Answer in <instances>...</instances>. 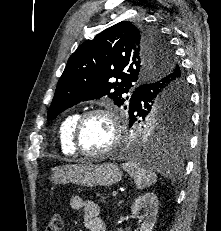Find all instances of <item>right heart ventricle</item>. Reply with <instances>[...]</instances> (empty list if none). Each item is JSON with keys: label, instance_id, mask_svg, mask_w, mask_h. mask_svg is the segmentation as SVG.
I'll list each match as a JSON object with an SVG mask.
<instances>
[{"label": "right heart ventricle", "instance_id": "e07e8e85", "mask_svg": "<svg viewBox=\"0 0 221 231\" xmlns=\"http://www.w3.org/2000/svg\"><path fill=\"white\" fill-rule=\"evenodd\" d=\"M78 117V113H71L62 120L59 126L58 134L60 147L62 152L67 155L75 154V150L71 143V136L74 123Z\"/></svg>", "mask_w": 221, "mask_h": 231}]
</instances>
